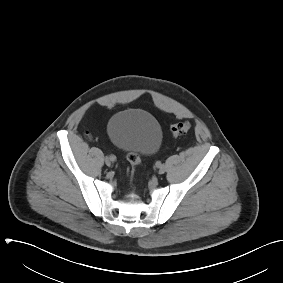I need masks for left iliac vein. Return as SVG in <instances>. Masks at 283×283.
Here are the masks:
<instances>
[{
	"label": "left iliac vein",
	"mask_w": 283,
	"mask_h": 283,
	"mask_svg": "<svg viewBox=\"0 0 283 283\" xmlns=\"http://www.w3.org/2000/svg\"><path fill=\"white\" fill-rule=\"evenodd\" d=\"M165 166L164 165H161V166H159L158 167V172H159V174H164L165 173Z\"/></svg>",
	"instance_id": "4c4485c4"
}]
</instances>
